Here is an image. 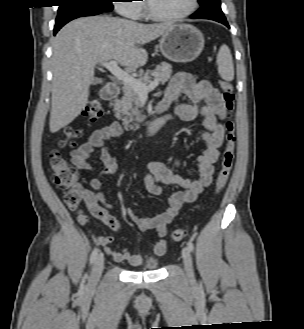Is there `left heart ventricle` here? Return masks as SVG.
Returning a JSON list of instances; mask_svg holds the SVG:
<instances>
[{
	"instance_id": "left-heart-ventricle-1",
	"label": "left heart ventricle",
	"mask_w": 304,
	"mask_h": 329,
	"mask_svg": "<svg viewBox=\"0 0 304 329\" xmlns=\"http://www.w3.org/2000/svg\"><path fill=\"white\" fill-rule=\"evenodd\" d=\"M191 0H149L154 12L161 15H175L186 11Z\"/></svg>"
}]
</instances>
